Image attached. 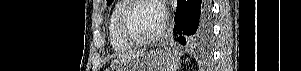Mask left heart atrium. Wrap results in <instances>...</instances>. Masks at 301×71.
Returning a JSON list of instances; mask_svg holds the SVG:
<instances>
[{
    "label": "left heart atrium",
    "mask_w": 301,
    "mask_h": 71,
    "mask_svg": "<svg viewBox=\"0 0 301 71\" xmlns=\"http://www.w3.org/2000/svg\"><path fill=\"white\" fill-rule=\"evenodd\" d=\"M159 9H160V11H161V14H162V16H163V19H164V17H165V10H164V8H163V7H160Z\"/></svg>",
    "instance_id": "1"
}]
</instances>
